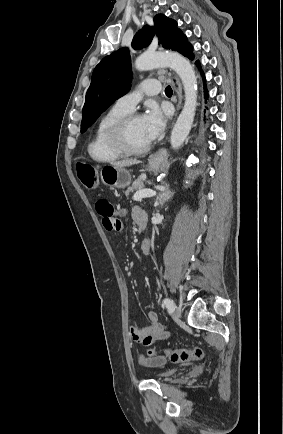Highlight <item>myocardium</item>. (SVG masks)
I'll use <instances>...</instances> for the list:
<instances>
[{
	"label": "myocardium",
	"instance_id": "1",
	"mask_svg": "<svg viewBox=\"0 0 283 434\" xmlns=\"http://www.w3.org/2000/svg\"><path fill=\"white\" fill-rule=\"evenodd\" d=\"M140 116L136 113H129L115 122L109 130L108 138L111 146L123 155H140L144 154L151 148V143L134 147L128 139V128L131 122Z\"/></svg>",
	"mask_w": 283,
	"mask_h": 434
}]
</instances>
